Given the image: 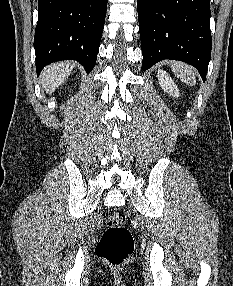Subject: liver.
Listing matches in <instances>:
<instances>
[{"label": "liver", "mask_w": 233, "mask_h": 286, "mask_svg": "<svg viewBox=\"0 0 233 286\" xmlns=\"http://www.w3.org/2000/svg\"><path fill=\"white\" fill-rule=\"evenodd\" d=\"M73 65L71 63H54L46 67L40 75V83L47 93H52L68 78Z\"/></svg>", "instance_id": "6515ba94"}]
</instances>
